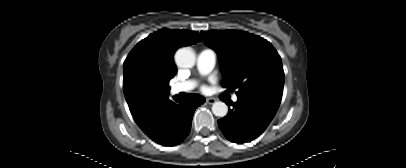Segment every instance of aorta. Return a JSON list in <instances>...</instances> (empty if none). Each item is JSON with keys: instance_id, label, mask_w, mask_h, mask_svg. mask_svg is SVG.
<instances>
[{"instance_id": "aorta-1", "label": "aorta", "mask_w": 406, "mask_h": 168, "mask_svg": "<svg viewBox=\"0 0 406 168\" xmlns=\"http://www.w3.org/2000/svg\"><path fill=\"white\" fill-rule=\"evenodd\" d=\"M195 61V52L189 47L180 48L175 53V62L180 68H192L195 65ZM212 112L215 116L224 117L228 113V106L222 101L214 102Z\"/></svg>"}]
</instances>
